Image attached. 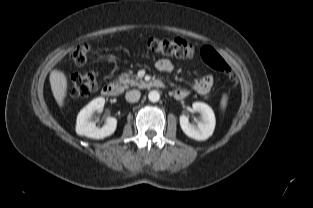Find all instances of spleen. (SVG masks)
<instances>
[{
	"label": "spleen",
	"instance_id": "obj_1",
	"mask_svg": "<svg viewBox=\"0 0 313 208\" xmlns=\"http://www.w3.org/2000/svg\"><path fill=\"white\" fill-rule=\"evenodd\" d=\"M225 105H226V98L223 97V99H222V101H221V106H222V108H224Z\"/></svg>",
	"mask_w": 313,
	"mask_h": 208
}]
</instances>
